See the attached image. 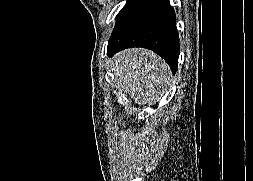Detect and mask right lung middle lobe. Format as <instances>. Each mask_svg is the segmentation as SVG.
Instances as JSON below:
<instances>
[{
  "label": "right lung middle lobe",
  "mask_w": 253,
  "mask_h": 181,
  "mask_svg": "<svg viewBox=\"0 0 253 181\" xmlns=\"http://www.w3.org/2000/svg\"><path fill=\"white\" fill-rule=\"evenodd\" d=\"M135 1L136 0H127L125 6L121 9V11L116 16V19L119 20L122 17V15L133 5Z\"/></svg>",
  "instance_id": "1"
}]
</instances>
